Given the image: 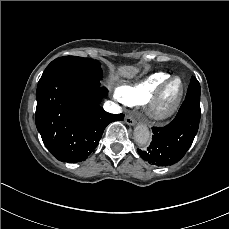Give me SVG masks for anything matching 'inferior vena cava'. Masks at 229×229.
<instances>
[{
    "instance_id": "1",
    "label": "inferior vena cava",
    "mask_w": 229,
    "mask_h": 229,
    "mask_svg": "<svg viewBox=\"0 0 229 229\" xmlns=\"http://www.w3.org/2000/svg\"><path fill=\"white\" fill-rule=\"evenodd\" d=\"M103 108L106 112L112 114H119L121 112V108L112 101L105 102Z\"/></svg>"
}]
</instances>
